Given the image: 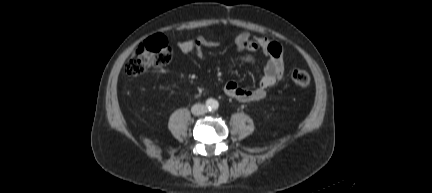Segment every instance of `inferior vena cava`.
<instances>
[{"label": "inferior vena cava", "instance_id": "1", "mask_svg": "<svg viewBox=\"0 0 432 193\" xmlns=\"http://www.w3.org/2000/svg\"><path fill=\"white\" fill-rule=\"evenodd\" d=\"M191 111L194 115H201L207 112V108L203 104H195L192 106Z\"/></svg>", "mask_w": 432, "mask_h": 193}]
</instances>
